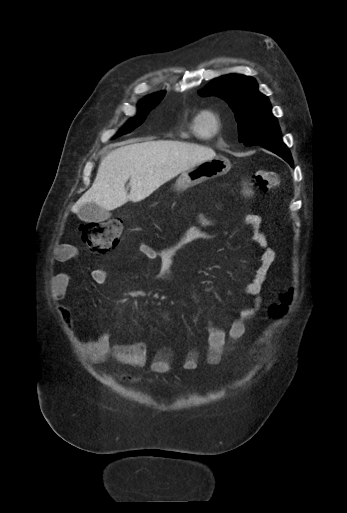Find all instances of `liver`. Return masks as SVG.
<instances>
[{
  "instance_id": "obj_1",
  "label": "liver",
  "mask_w": 347,
  "mask_h": 513,
  "mask_svg": "<svg viewBox=\"0 0 347 513\" xmlns=\"http://www.w3.org/2000/svg\"><path fill=\"white\" fill-rule=\"evenodd\" d=\"M215 156L211 148L171 140L122 146L102 159L91 188L71 210L78 214L83 205L94 203L111 211L128 200L141 201L178 174Z\"/></svg>"
}]
</instances>
